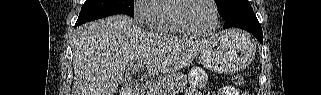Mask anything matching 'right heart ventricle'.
Listing matches in <instances>:
<instances>
[{
  "instance_id": "1",
  "label": "right heart ventricle",
  "mask_w": 321,
  "mask_h": 95,
  "mask_svg": "<svg viewBox=\"0 0 321 95\" xmlns=\"http://www.w3.org/2000/svg\"><path fill=\"white\" fill-rule=\"evenodd\" d=\"M177 0H156L154 4L153 14L148 22V27L150 30L187 35L171 22V11Z\"/></svg>"
}]
</instances>
